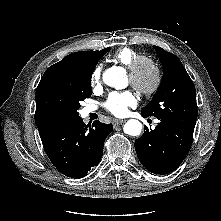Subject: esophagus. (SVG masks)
Returning a JSON list of instances; mask_svg holds the SVG:
<instances>
[{
  "label": "esophagus",
  "mask_w": 221,
  "mask_h": 221,
  "mask_svg": "<svg viewBox=\"0 0 221 221\" xmlns=\"http://www.w3.org/2000/svg\"><path fill=\"white\" fill-rule=\"evenodd\" d=\"M125 122V120H119V119H117V120H114L113 121V124L114 125H120V124H122V123H124Z\"/></svg>",
  "instance_id": "1"
}]
</instances>
